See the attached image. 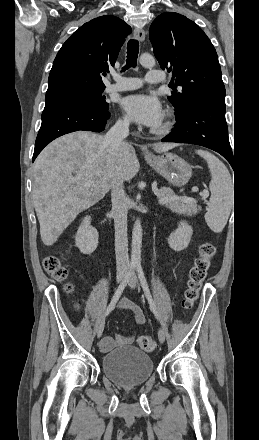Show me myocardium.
Instances as JSON below:
<instances>
[{"instance_id":"obj_1","label":"myocardium","mask_w":259,"mask_h":440,"mask_svg":"<svg viewBox=\"0 0 259 440\" xmlns=\"http://www.w3.org/2000/svg\"><path fill=\"white\" fill-rule=\"evenodd\" d=\"M171 128L172 122L170 120V115L167 114L159 125L152 128L151 132L156 135H165L170 132Z\"/></svg>"}]
</instances>
